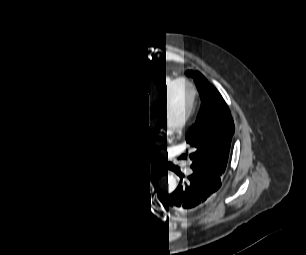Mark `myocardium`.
<instances>
[{
    "mask_svg": "<svg viewBox=\"0 0 306 255\" xmlns=\"http://www.w3.org/2000/svg\"><path fill=\"white\" fill-rule=\"evenodd\" d=\"M182 86L186 87L190 92L189 103L185 113L179 119L171 120L167 116L168 107L175 92ZM199 96L200 93L198 86L191 78H179L174 81L159 97L156 102L157 111L168 127H170L172 130L180 131L185 128L194 117L198 107Z\"/></svg>",
    "mask_w": 306,
    "mask_h": 255,
    "instance_id": "obj_1",
    "label": "myocardium"
}]
</instances>
